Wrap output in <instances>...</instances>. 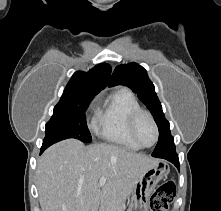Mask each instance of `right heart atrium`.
Wrapping results in <instances>:
<instances>
[{"label": "right heart atrium", "mask_w": 221, "mask_h": 211, "mask_svg": "<svg viewBox=\"0 0 221 211\" xmlns=\"http://www.w3.org/2000/svg\"><path fill=\"white\" fill-rule=\"evenodd\" d=\"M92 107H93V103L90 104V108H92Z\"/></svg>", "instance_id": "right-heart-atrium-1"}]
</instances>
